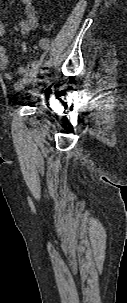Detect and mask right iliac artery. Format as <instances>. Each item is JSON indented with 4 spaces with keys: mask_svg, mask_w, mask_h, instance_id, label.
<instances>
[{
    "mask_svg": "<svg viewBox=\"0 0 127 303\" xmlns=\"http://www.w3.org/2000/svg\"><path fill=\"white\" fill-rule=\"evenodd\" d=\"M51 63L48 61L43 65V68L41 69V73L47 72L48 69L50 68Z\"/></svg>",
    "mask_w": 127,
    "mask_h": 303,
    "instance_id": "82829eb1",
    "label": "right iliac artery"
}]
</instances>
